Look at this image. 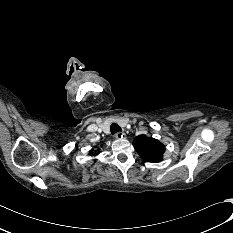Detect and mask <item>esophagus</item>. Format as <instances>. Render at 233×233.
<instances>
[{
    "instance_id": "1",
    "label": "esophagus",
    "mask_w": 233,
    "mask_h": 233,
    "mask_svg": "<svg viewBox=\"0 0 233 233\" xmlns=\"http://www.w3.org/2000/svg\"><path fill=\"white\" fill-rule=\"evenodd\" d=\"M115 138L118 139V140L125 139L126 135L123 132H117L115 134Z\"/></svg>"
}]
</instances>
